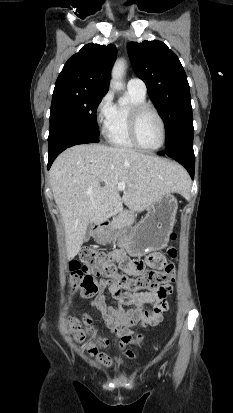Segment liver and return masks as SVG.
Masks as SVG:
<instances>
[{"label":"liver","instance_id":"6515ba94","mask_svg":"<svg viewBox=\"0 0 233 413\" xmlns=\"http://www.w3.org/2000/svg\"><path fill=\"white\" fill-rule=\"evenodd\" d=\"M186 178L180 165L129 148L83 144L61 153L50 169V183L68 259L79 253L89 223L102 224L123 203L142 212L165 194L183 192ZM120 182L126 185L122 197Z\"/></svg>","mask_w":233,"mask_h":413}]
</instances>
